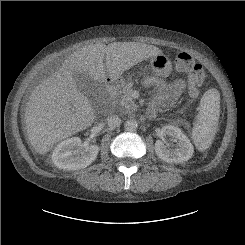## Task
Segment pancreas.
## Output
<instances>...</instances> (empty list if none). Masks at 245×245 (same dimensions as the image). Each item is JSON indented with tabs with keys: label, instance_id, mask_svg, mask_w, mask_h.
<instances>
[{
	"label": "pancreas",
	"instance_id": "pancreas-1",
	"mask_svg": "<svg viewBox=\"0 0 245 245\" xmlns=\"http://www.w3.org/2000/svg\"><path fill=\"white\" fill-rule=\"evenodd\" d=\"M133 83L129 82L120 92V97L118 99L119 109L122 113H129L135 111L137 109V105L135 104L133 98L131 97V93L133 91Z\"/></svg>",
	"mask_w": 245,
	"mask_h": 245
}]
</instances>
